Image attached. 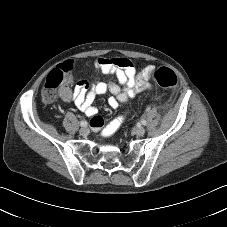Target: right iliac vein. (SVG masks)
I'll return each instance as SVG.
<instances>
[{"mask_svg": "<svg viewBox=\"0 0 227 227\" xmlns=\"http://www.w3.org/2000/svg\"><path fill=\"white\" fill-rule=\"evenodd\" d=\"M79 132L82 136H86L89 133V129L87 127H82Z\"/></svg>", "mask_w": 227, "mask_h": 227, "instance_id": "1", "label": "right iliac vein"}]
</instances>
